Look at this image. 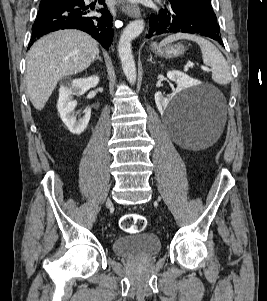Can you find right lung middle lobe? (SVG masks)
Listing matches in <instances>:
<instances>
[{"label": "right lung middle lobe", "instance_id": "obj_1", "mask_svg": "<svg viewBox=\"0 0 267 301\" xmlns=\"http://www.w3.org/2000/svg\"><path fill=\"white\" fill-rule=\"evenodd\" d=\"M60 2L58 1H53V0H42L40 2V5H39V9L40 10H43V9H47V8H50L56 4H59Z\"/></svg>", "mask_w": 267, "mask_h": 301}]
</instances>
